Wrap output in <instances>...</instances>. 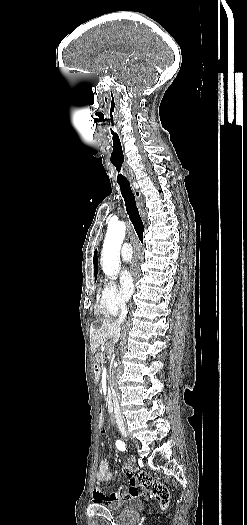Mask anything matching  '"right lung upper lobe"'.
I'll return each mask as SVG.
<instances>
[{
    "label": "right lung upper lobe",
    "instance_id": "cb5924a9",
    "mask_svg": "<svg viewBox=\"0 0 247 525\" xmlns=\"http://www.w3.org/2000/svg\"><path fill=\"white\" fill-rule=\"evenodd\" d=\"M93 262H94V273H95V277H96V275H97V250L94 253Z\"/></svg>",
    "mask_w": 247,
    "mask_h": 525
}]
</instances>
